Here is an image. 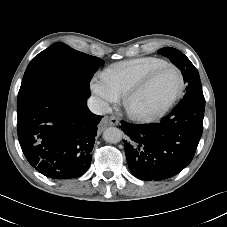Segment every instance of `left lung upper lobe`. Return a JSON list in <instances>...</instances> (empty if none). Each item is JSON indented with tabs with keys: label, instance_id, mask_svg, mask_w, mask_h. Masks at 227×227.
Instances as JSON below:
<instances>
[{
	"label": "left lung upper lobe",
	"instance_id": "obj_1",
	"mask_svg": "<svg viewBox=\"0 0 227 227\" xmlns=\"http://www.w3.org/2000/svg\"><path fill=\"white\" fill-rule=\"evenodd\" d=\"M158 53L168 57L170 61L181 70L184 82L187 84L185 96L178 105L188 103L205 105L198 71L189 59L179 50L171 47H164L158 50Z\"/></svg>",
	"mask_w": 227,
	"mask_h": 227
}]
</instances>
